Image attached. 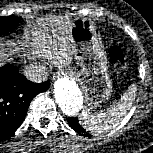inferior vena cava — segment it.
Masks as SVG:
<instances>
[{
  "mask_svg": "<svg viewBox=\"0 0 153 153\" xmlns=\"http://www.w3.org/2000/svg\"><path fill=\"white\" fill-rule=\"evenodd\" d=\"M24 75L28 80L36 83L45 81L48 78V72L46 71V68L43 65L31 64L29 66H26Z\"/></svg>",
  "mask_w": 153,
  "mask_h": 153,
  "instance_id": "602c4592",
  "label": "inferior vena cava"
}]
</instances>
